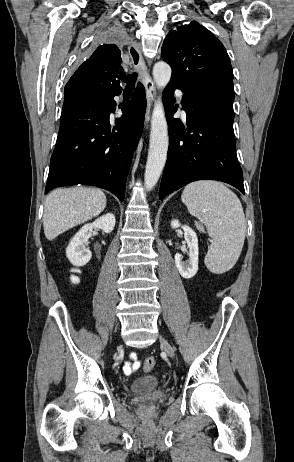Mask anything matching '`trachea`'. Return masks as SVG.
I'll list each match as a JSON object with an SVG mask.
<instances>
[{"instance_id":"obj_1","label":"trachea","mask_w":294,"mask_h":462,"mask_svg":"<svg viewBox=\"0 0 294 462\" xmlns=\"http://www.w3.org/2000/svg\"><path fill=\"white\" fill-rule=\"evenodd\" d=\"M137 78V74L133 73L132 75H123L120 77V79L124 82L127 83V86L125 88L126 92H130L134 89V84Z\"/></svg>"}]
</instances>
